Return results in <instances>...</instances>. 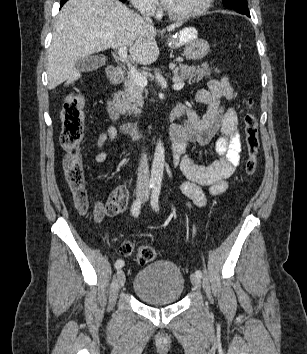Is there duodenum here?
Listing matches in <instances>:
<instances>
[{
  "label": "duodenum",
  "mask_w": 307,
  "mask_h": 354,
  "mask_svg": "<svg viewBox=\"0 0 307 354\" xmlns=\"http://www.w3.org/2000/svg\"><path fill=\"white\" fill-rule=\"evenodd\" d=\"M108 81L111 86H117L124 80L125 73L124 70L120 67H112L107 74ZM106 109L110 119L114 122L118 121L121 116V111L119 108L118 97L114 93H109L106 98ZM175 116V109H172L165 117L157 116L154 119H150L147 121H134L127 122L121 125L122 132L130 137L135 138L142 134L148 125L154 120H158L161 118L171 119Z\"/></svg>",
  "instance_id": "410a0bca"
}]
</instances>
